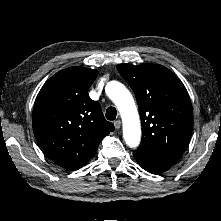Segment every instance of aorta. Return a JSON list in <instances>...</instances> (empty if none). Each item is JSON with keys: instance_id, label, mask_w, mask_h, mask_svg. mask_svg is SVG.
Listing matches in <instances>:
<instances>
[{"instance_id": "1", "label": "aorta", "mask_w": 221, "mask_h": 221, "mask_svg": "<svg viewBox=\"0 0 221 221\" xmlns=\"http://www.w3.org/2000/svg\"><path fill=\"white\" fill-rule=\"evenodd\" d=\"M106 93L117 106L123 120V137L126 144L135 148L140 144L141 127L138 112L129 90L121 83L112 81Z\"/></svg>"}]
</instances>
